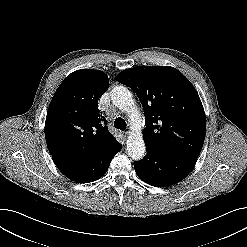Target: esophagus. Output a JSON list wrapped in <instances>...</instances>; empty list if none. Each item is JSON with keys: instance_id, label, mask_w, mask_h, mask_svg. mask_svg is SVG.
Masks as SVG:
<instances>
[{"instance_id": "1", "label": "esophagus", "mask_w": 247, "mask_h": 247, "mask_svg": "<svg viewBox=\"0 0 247 247\" xmlns=\"http://www.w3.org/2000/svg\"><path fill=\"white\" fill-rule=\"evenodd\" d=\"M121 135H122V137H123L124 139H127L128 135H129V132H128V131H123V132L121 133Z\"/></svg>"}]
</instances>
